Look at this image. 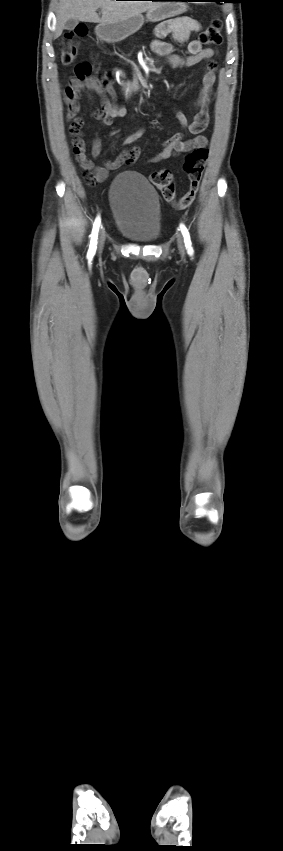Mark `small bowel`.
<instances>
[{"label": "small bowel", "mask_w": 283, "mask_h": 851, "mask_svg": "<svg viewBox=\"0 0 283 851\" xmlns=\"http://www.w3.org/2000/svg\"><path fill=\"white\" fill-rule=\"evenodd\" d=\"M199 29L200 24L191 18L181 17L164 21L156 27V39L152 42V49L156 54L164 57L167 63L173 68L195 66L210 59L215 54L214 49L202 47L201 42L198 40L188 41L190 33ZM167 35H172L178 42L183 43L188 41L186 48L189 55L187 57H181L175 54L173 46L162 40ZM206 68L207 70L202 77V87L195 103L197 113L193 120L188 121L183 113L175 112L181 126L195 136L190 139H184L182 133H175L162 143L160 151L151 157L148 163H158L173 155L207 145V138L201 133L209 123L208 107L216 79L214 74L216 63L210 61ZM74 73L75 76L69 80L65 88L64 97L67 105V119L72 121L69 132L72 136L75 158L88 179L102 182L107 178L109 170H115L123 165L134 163L140 155V148L138 146L128 148L115 159L106 160L102 166L94 163L92 158H98L101 154V141L94 139L90 152H87L86 142L83 139L82 133L83 121L78 117L80 112V95L93 91L101 97V110L95 113V117L105 126H111L114 118L123 117L126 114V108L108 99L107 94L114 95L116 92L115 89L108 85H103L95 77L91 76L89 64H78L74 69ZM142 134L143 131H140L126 138L124 144L129 146Z\"/></svg>", "instance_id": "obj_1"}]
</instances>
